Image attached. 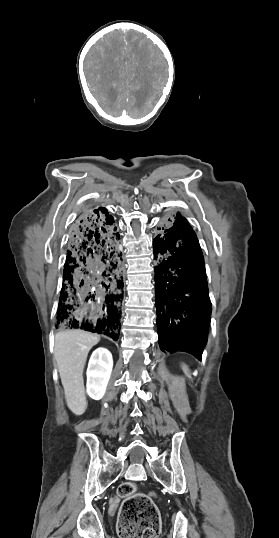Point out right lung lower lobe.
<instances>
[{
	"label": "right lung lower lobe",
	"instance_id": "1",
	"mask_svg": "<svg viewBox=\"0 0 279 538\" xmlns=\"http://www.w3.org/2000/svg\"><path fill=\"white\" fill-rule=\"evenodd\" d=\"M119 240L106 208L80 213L69 238L56 328L118 336L124 286Z\"/></svg>",
	"mask_w": 279,
	"mask_h": 538
}]
</instances>
